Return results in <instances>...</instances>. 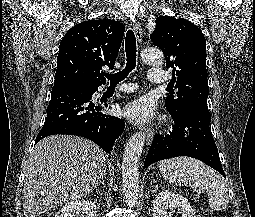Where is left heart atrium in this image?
Wrapping results in <instances>:
<instances>
[{
	"mask_svg": "<svg viewBox=\"0 0 255 217\" xmlns=\"http://www.w3.org/2000/svg\"><path fill=\"white\" fill-rule=\"evenodd\" d=\"M123 114L136 124H145L155 117V108L153 102L142 97L130 102L123 111Z\"/></svg>",
	"mask_w": 255,
	"mask_h": 217,
	"instance_id": "obj_1",
	"label": "left heart atrium"
}]
</instances>
